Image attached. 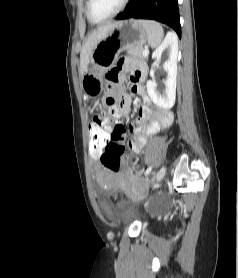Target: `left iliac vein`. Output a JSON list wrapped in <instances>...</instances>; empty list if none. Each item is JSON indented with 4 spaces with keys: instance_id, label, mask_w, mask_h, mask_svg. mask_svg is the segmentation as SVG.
I'll return each mask as SVG.
<instances>
[{
    "instance_id": "obj_1",
    "label": "left iliac vein",
    "mask_w": 238,
    "mask_h": 278,
    "mask_svg": "<svg viewBox=\"0 0 238 278\" xmlns=\"http://www.w3.org/2000/svg\"><path fill=\"white\" fill-rule=\"evenodd\" d=\"M166 174V167L162 166L161 169L159 170L156 179L153 181V187L157 188L160 185L161 180L164 178Z\"/></svg>"
}]
</instances>
